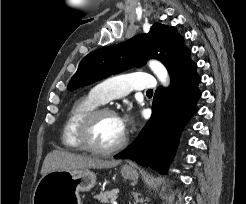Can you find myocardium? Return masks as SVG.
I'll return each instance as SVG.
<instances>
[{"label": "myocardium", "mask_w": 246, "mask_h": 204, "mask_svg": "<svg viewBox=\"0 0 246 204\" xmlns=\"http://www.w3.org/2000/svg\"><path fill=\"white\" fill-rule=\"evenodd\" d=\"M103 115L117 116L116 112L111 108L97 107L83 117L77 129V139L82 149L99 155L112 154L122 149L128 141V135L126 132H124L121 139L116 144L110 147H97L91 143L90 131L92 129V126L94 125L95 121Z\"/></svg>", "instance_id": "myocardium-1"}]
</instances>
